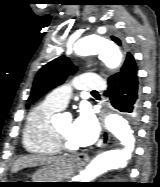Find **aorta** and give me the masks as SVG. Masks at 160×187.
I'll return each instance as SVG.
<instances>
[{
	"instance_id": "obj_1",
	"label": "aorta",
	"mask_w": 160,
	"mask_h": 187,
	"mask_svg": "<svg viewBox=\"0 0 160 187\" xmlns=\"http://www.w3.org/2000/svg\"><path fill=\"white\" fill-rule=\"evenodd\" d=\"M74 49L81 56L98 55L110 69L117 68L122 60L119 48L102 35L93 34L83 37L75 43ZM105 126L120 145L95 157L82 171L81 182H91L109 170L124 168L131 158L135 134L128 121L118 114H109L105 119Z\"/></svg>"
}]
</instances>
